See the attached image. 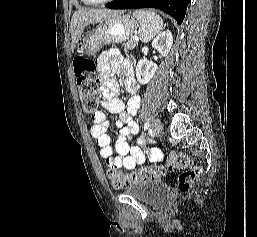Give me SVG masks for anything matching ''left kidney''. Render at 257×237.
<instances>
[{
    "mask_svg": "<svg viewBox=\"0 0 257 237\" xmlns=\"http://www.w3.org/2000/svg\"><path fill=\"white\" fill-rule=\"evenodd\" d=\"M173 44V36L171 31H163L153 41L152 47L158 50V52L166 57ZM158 69L157 64L152 61L141 59L136 66V78L141 84H147L152 79Z\"/></svg>",
    "mask_w": 257,
    "mask_h": 237,
    "instance_id": "5707ae66",
    "label": "left kidney"
}]
</instances>
